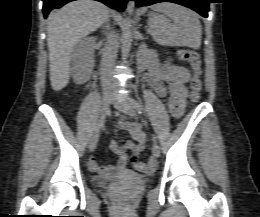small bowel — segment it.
<instances>
[{
	"instance_id": "1",
	"label": "small bowel",
	"mask_w": 260,
	"mask_h": 217,
	"mask_svg": "<svg viewBox=\"0 0 260 217\" xmlns=\"http://www.w3.org/2000/svg\"><path fill=\"white\" fill-rule=\"evenodd\" d=\"M144 65L147 69L146 80L150 87L163 99L170 113L174 117H179L182 114L190 73L180 66L166 67L154 54L146 58ZM164 81L168 83L167 86ZM121 127L130 133L132 141L122 146L114 140L110 142V149L119 156L117 164L101 167L95 158L89 161V169L98 173L101 178L125 171L128 163L137 162L138 153L145 148V135L138 125L124 120ZM127 151H130L131 155H128Z\"/></svg>"
}]
</instances>
